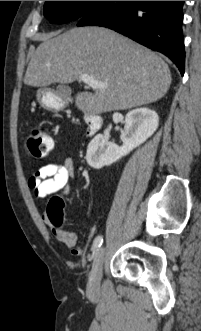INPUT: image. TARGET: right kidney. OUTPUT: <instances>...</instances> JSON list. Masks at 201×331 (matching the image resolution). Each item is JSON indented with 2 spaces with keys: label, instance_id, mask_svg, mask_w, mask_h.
<instances>
[{
  "label": "right kidney",
  "instance_id": "ca27d5eb",
  "mask_svg": "<svg viewBox=\"0 0 201 331\" xmlns=\"http://www.w3.org/2000/svg\"><path fill=\"white\" fill-rule=\"evenodd\" d=\"M158 125L159 117L155 111L147 108L130 111L125 117L124 130L120 135L123 145L119 147L106 136L98 134L88 144L87 163L95 169L111 165L144 143Z\"/></svg>",
  "mask_w": 201,
  "mask_h": 331
}]
</instances>
